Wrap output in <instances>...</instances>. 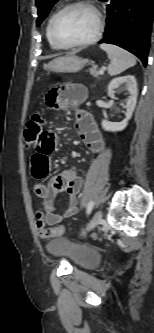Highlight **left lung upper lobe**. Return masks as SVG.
<instances>
[{"instance_id":"1","label":"left lung upper lobe","mask_w":154,"mask_h":333,"mask_svg":"<svg viewBox=\"0 0 154 333\" xmlns=\"http://www.w3.org/2000/svg\"><path fill=\"white\" fill-rule=\"evenodd\" d=\"M57 1L58 0H36V6L38 8L37 26H39L42 23V21L47 16L52 6Z\"/></svg>"}]
</instances>
